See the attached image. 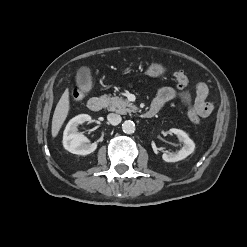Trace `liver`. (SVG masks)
Listing matches in <instances>:
<instances>
[{"label":"liver","instance_id":"liver-1","mask_svg":"<svg viewBox=\"0 0 247 247\" xmlns=\"http://www.w3.org/2000/svg\"><path fill=\"white\" fill-rule=\"evenodd\" d=\"M70 109L69 104V90L66 89L62 94L59 102L56 105L52 118V137L55 138L59 133L64 121L66 120Z\"/></svg>","mask_w":247,"mask_h":247}]
</instances>
